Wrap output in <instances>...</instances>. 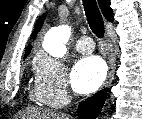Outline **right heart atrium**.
Here are the masks:
<instances>
[{"instance_id":"1","label":"right heart atrium","mask_w":142,"mask_h":119,"mask_svg":"<svg viewBox=\"0 0 142 119\" xmlns=\"http://www.w3.org/2000/svg\"><path fill=\"white\" fill-rule=\"evenodd\" d=\"M34 69L42 102L51 107L65 105L70 98V92L64 64L42 53L34 61Z\"/></svg>"}]
</instances>
